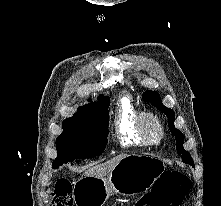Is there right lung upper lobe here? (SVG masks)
I'll return each mask as SVG.
<instances>
[{"label": "right lung upper lobe", "mask_w": 221, "mask_h": 206, "mask_svg": "<svg viewBox=\"0 0 221 206\" xmlns=\"http://www.w3.org/2000/svg\"><path fill=\"white\" fill-rule=\"evenodd\" d=\"M99 101L96 103L88 104L84 107H80L78 109V112L75 115H83V114H89L94 112H102L107 110L110 103L109 97H103V95H100L98 97Z\"/></svg>", "instance_id": "right-lung-upper-lobe-1"}]
</instances>
